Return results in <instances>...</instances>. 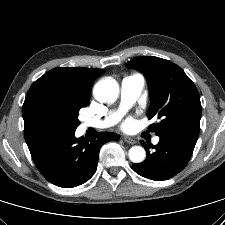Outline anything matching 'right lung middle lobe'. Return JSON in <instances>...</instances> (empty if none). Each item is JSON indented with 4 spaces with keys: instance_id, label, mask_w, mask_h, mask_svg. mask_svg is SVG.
<instances>
[{
    "instance_id": "dd1d6c3e",
    "label": "right lung middle lobe",
    "mask_w": 225,
    "mask_h": 225,
    "mask_svg": "<svg viewBox=\"0 0 225 225\" xmlns=\"http://www.w3.org/2000/svg\"><path fill=\"white\" fill-rule=\"evenodd\" d=\"M89 94L66 89H44L29 101L25 114L35 127H51L74 131L80 124L79 110L86 107Z\"/></svg>"
}]
</instances>
